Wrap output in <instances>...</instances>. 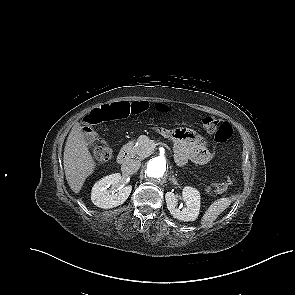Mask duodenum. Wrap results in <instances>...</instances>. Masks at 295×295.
Masks as SVG:
<instances>
[{"label":"duodenum","instance_id":"1","mask_svg":"<svg viewBox=\"0 0 295 295\" xmlns=\"http://www.w3.org/2000/svg\"><path fill=\"white\" fill-rule=\"evenodd\" d=\"M130 156H131V147L130 145L127 144L124 147H122V149L120 150L117 156V161L119 164H123L130 159Z\"/></svg>","mask_w":295,"mask_h":295}]
</instances>
